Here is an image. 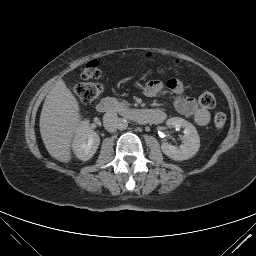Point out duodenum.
Returning a JSON list of instances; mask_svg holds the SVG:
<instances>
[{
  "mask_svg": "<svg viewBox=\"0 0 256 256\" xmlns=\"http://www.w3.org/2000/svg\"><path fill=\"white\" fill-rule=\"evenodd\" d=\"M118 108L119 105L113 98H105L96 106L97 111L100 113L111 112ZM125 113L129 118L140 124L157 123L162 118L159 112L149 109L131 108L125 110Z\"/></svg>",
  "mask_w": 256,
  "mask_h": 256,
  "instance_id": "duodenum-1",
  "label": "duodenum"
}]
</instances>
